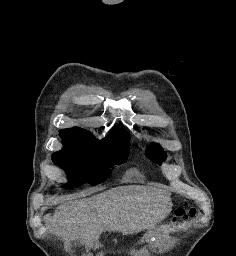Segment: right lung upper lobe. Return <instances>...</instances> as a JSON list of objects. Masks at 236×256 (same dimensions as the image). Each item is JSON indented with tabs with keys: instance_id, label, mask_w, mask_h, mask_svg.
<instances>
[{
	"instance_id": "cb5924a9",
	"label": "right lung upper lobe",
	"mask_w": 236,
	"mask_h": 256,
	"mask_svg": "<svg viewBox=\"0 0 236 256\" xmlns=\"http://www.w3.org/2000/svg\"><path fill=\"white\" fill-rule=\"evenodd\" d=\"M60 135H71L77 136L81 138L96 140L92 134L84 129L81 128H72V129H65L60 132ZM98 141V140H96ZM103 142H128L129 143V135L126 131L121 129L114 130L111 134L107 137L102 139Z\"/></svg>"
}]
</instances>
